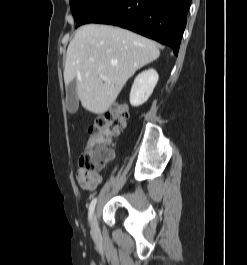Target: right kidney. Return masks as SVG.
<instances>
[{
	"label": "right kidney",
	"instance_id": "right-kidney-1",
	"mask_svg": "<svg viewBox=\"0 0 247 265\" xmlns=\"http://www.w3.org/2000/svg\"><path fill=\"white\" fill-rule=\"evenodd\" d=\"M158 78V73L154 69L144 71L135 78L130 92L132 106L138 107L148 100L158 82Z\"/></svg>",
	"mask_w": 247,
	"mask_h": 265
}]
</instances>
